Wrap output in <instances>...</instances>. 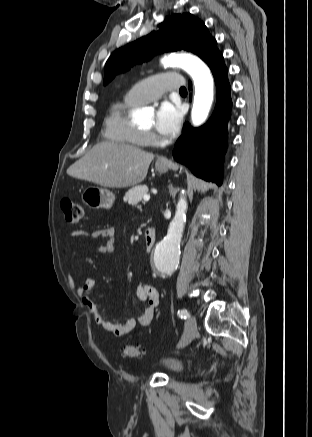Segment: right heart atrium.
<instances>
[{
    "label": "right heart atrium",
    "mask_w": 312,
    "mask_h": 437,
    "mask_svg": "<svg viewBox=\"0 0 312 437\" xmlns=\"http://www.w3.org/2000/svg\"><path fill=\"white\" fill-rule=\"evenodd\" d=\"M146 137H147V138H151V135H150V134H147Z\"/></svg>",
    "instance_id": "d8ad5b80"
}]
</instances>
